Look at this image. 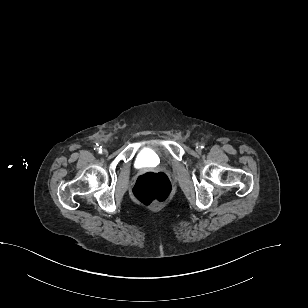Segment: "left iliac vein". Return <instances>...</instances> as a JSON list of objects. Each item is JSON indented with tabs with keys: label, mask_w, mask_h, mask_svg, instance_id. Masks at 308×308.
Wrapping results in <instances>:
<instances>
[{
	"label": "left iliac vein",
	"mask_w": 308,
	"mask_h": 308,
	"mask_svg": "<svg viewBox=\"0 0 308 308\" xmlns=\"http://www.w3.org/2000/svg\"><path fill=\"white\" fill-rule=\"evenodd\" d=\"M196 150L198 151V152H200L201 151V149H200V145L197 143L196 144Z\"/></svg>",
	"instance_id": "left-iliac-vein-1"
}]
</instances>
